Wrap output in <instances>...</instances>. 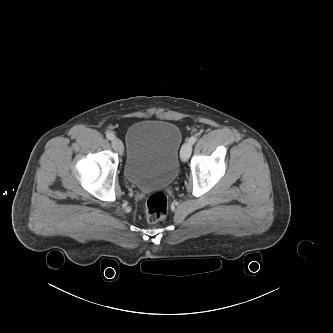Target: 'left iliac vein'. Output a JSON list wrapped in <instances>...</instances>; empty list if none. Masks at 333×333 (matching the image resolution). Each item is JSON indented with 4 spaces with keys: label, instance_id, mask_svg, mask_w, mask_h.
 <instances>
[{
    "label": "left iliac vein",
    "instance_id": "4c4485c4",
    "mask_svg": "<svg viewBox=\"0 0 333 333\" xmlns=\"http://www.w3.org/2000/svg\"><path fill=\"white\" fill-rule=\"evenodd\" d=\"M191 152H192V144H190L189 142L183 144L180 150L181 160L183 162H186L189 159Z\"/></svg>",
    "mask_w": 333,
    "mask_h": 333
}]
</instances>
